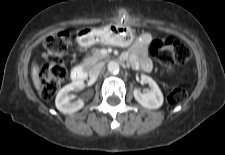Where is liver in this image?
<instances>
[{"mask_svg":"<svg viewBox=\"0 0 225 155\" xmlns=\"http://www.w3.org/2000/svg\"><path fill=\"white\" fill-rule=\"evenodd\" d=\"M32 80H33L35 88L37 90H40L41 80L39 78L38 68L36 65H34L32 68Z\"/></svg>","mask_w":225,"mask_h":155,"instance_id":"liver-1","label":"liver"}]
</instances>
